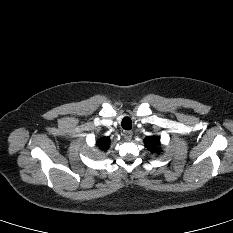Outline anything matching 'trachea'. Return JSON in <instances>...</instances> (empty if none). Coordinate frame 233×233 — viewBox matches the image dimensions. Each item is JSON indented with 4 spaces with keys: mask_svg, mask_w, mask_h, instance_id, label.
<instances>
[{
    "mask_svg": "<svg viewBox=\"0 0 233 233\" xmlns=\"http://www.w3.org/2000/svg\"><path fill=\"white\" fill-rule=\"evenodd\" d=\"M122 128L125 130H130L132 128V121L129 117H125L122 120Z\"/></svg>",
    "mask_w": 233,
    "mask_h": 233,
    "instance_id": "1",
    "label": "trachea"
}]
</instances>
